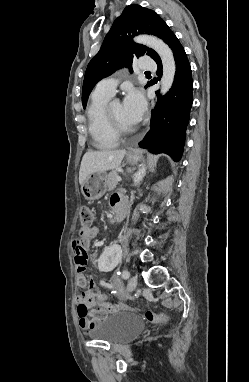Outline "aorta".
<instances>
[{"instance_id":"762f6f07","label":"aorta","mask_w":249,"mask_h":382,"mask_svg":"<svg viewBox=\"0 0 249 382\" xmlns=\"http://www.w3.org/2000/svg\"><path fill=\"white\" fill-rule=\"evenodd\" d=\"M135 41L152 48L160 56L163 65L160 92L162 95H165L172 87L176 72V64L172 50L161 39L151 35H140L135 38ZM145 175L146 167L142 165L133 176L134 184H139Z\"/></svg>"}]
</instances>
